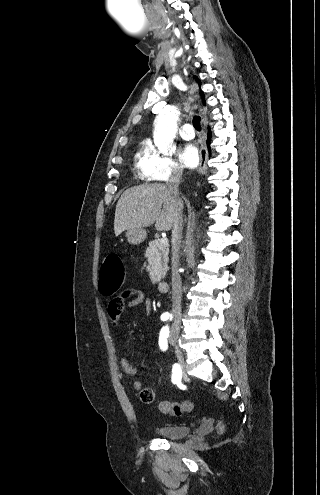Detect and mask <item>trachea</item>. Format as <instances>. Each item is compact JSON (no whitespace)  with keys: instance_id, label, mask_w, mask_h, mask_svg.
I'll return each instance as SVG.
<instances>
[{"instance_id":"obj_1","label":"trachea","mask_w":320,"mask_h":495,"mask_svg":"<svg viewBox=\"0 0 320 495\" xmlns=\"http://www.w3.org/2000/svg\"><path fill=\"white\" fill-rule=\"evenodd\" d=\"M201 118L199 116H194L193 118V126L196 130L201 131Z\"/></svg>"}]
</instances>
